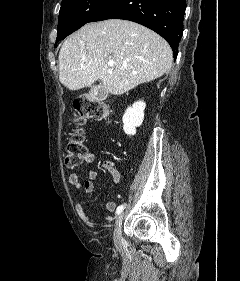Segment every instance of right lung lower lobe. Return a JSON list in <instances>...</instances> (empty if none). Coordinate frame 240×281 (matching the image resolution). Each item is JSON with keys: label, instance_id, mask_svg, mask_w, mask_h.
<instances>
[{"label": "right lung lower lobe", "instance_id": "98d812e1", "mask_svg": "<svg viewBox=\"0 0 240 281\" xmlns=\"http://www.w3.org/2000/svg\"><path fill=\"white\" fill-rule=\"evenodd\" d=\"M185 9V0H116L94 21L116 18L144 25L166 39L176 58Z\"/></svg>", "mask_w": 240, "mask_h": 281}]
</instances>
